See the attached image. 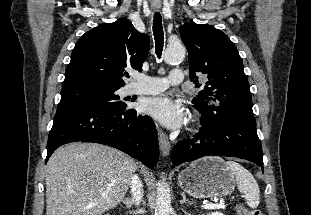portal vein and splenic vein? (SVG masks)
I'll return each instance as SVG.
<instances>
[{"mask_svg": "<svg viewBox=\"0 0 311 215\" xmlns=\"http://www.w3.org/2000/svg\"><path fill=\"white\" fill-rule=\"evenodd\" d=\"M203 207L210 208V209L225 208V204L224 203H209V204H205Z\"/></svg>", "mask_w": 311, "mask_h": 215, "instance_id": "18ae733b", "label": "portal vein and splenic vein"}]
</instances>
